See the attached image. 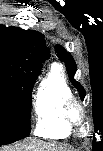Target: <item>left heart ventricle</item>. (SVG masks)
Returning a JSON list of instances; mask_svg holds the SVG:
<instances>
[{"label": "left heart ventricle", "mask_w": 103, "mask_h": 151, "mask_svg": "<svg viewBox=\"0 0 103 151\" xmlns=\"http://www.w3.org/2000/svg\"><path fill=\"white\" fill-rule=\"evenodd\" d=\"M74 115H75V117L79 116L78 112H74Z\"/></svg>", "instance_id": "left-heart-ventricle-1"}]
</instances>
